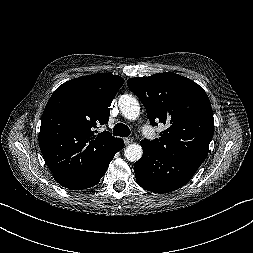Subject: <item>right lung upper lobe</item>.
I'll return each instance as SVG.
<instances>
[{
  "instance_id": "cb5924a9",
  "label": "right lung upper lobe",
  "mask_w": 253,
  "mask_h": 253,
  "mask_svg": "<svg viewBox=\"0 0 253 253\" xmlns=\"http://www.w3.org/2000/svg\"><path fill=\"white\" fill-rule=\"evenodd\" d=\"M123 83L118 75L99 73L69 80L54 91L39 132V146L52 173L97 162L120 141L108 131L95 135L94 129L108 122L111 101Z\"/></svg>"
}]
</instances>
